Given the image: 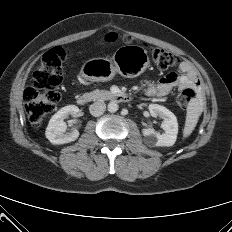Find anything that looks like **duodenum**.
Segmentation results:
<instances>
[{
  "instance_id": "410a0bca",
  "label": "duodenum",
  "mask_w": 232,
  "mask_h": 232,
  "mask_svg": "<svg viewBox=\"0 0 232 232\" xmlns=\"http://www.w3.org/2000/svg\"><path fill=\"white\" fill-rule=\"evenodd\" d=\"M112 100L115 102H127L130 100V96L123 93H114L112 94ZM89 100V96L86 94H81L77 97V104L80 106H84L87 104Z\"/></svg>"
}]
</instances>
